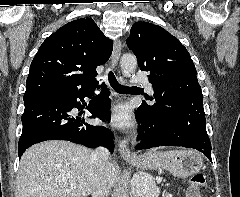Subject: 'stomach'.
<instances>
[{
    "instance_id": "obj_1",
    "label": "stomach",
    "mask_w": 240,
    "mask_h": 197,
    "mask_svg": "<svg viewBox=\"0 0 240 197\" xmlns=\"http://www.w3.org/2000/svg\"><path fill=\"white\" fill-rule=\"evenodd\" d=\"M130 163L141 170L162 167L179 178L198 173L203 166L200 154L193 150L166 153L153 150L138 156L136 160L130 161ZM136 191L139 196L140 191L138 189Z\"/></svg>"
}]
</instances>
